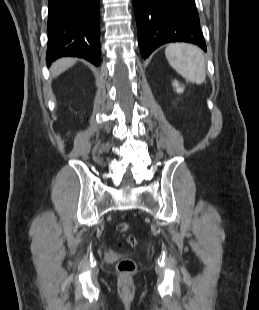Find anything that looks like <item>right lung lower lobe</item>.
<instances>
[{
  "mask_svg": "<svg viewBox=\"0 0 259 310\" xmlns=\"http://www.w3.org/2000/svg\"><path fill=\"white\" fill-rule=\"evenodd\" d=\"M48 7L47 64L73 56L99 66V0H48Z\"/></svg>",
  "mask_w": 259,
  "mask_h": 310,
  "instance_id": "right-lung-lower-lobe-1",
  "label": "right lung lower lobe"
}]
</instances>
